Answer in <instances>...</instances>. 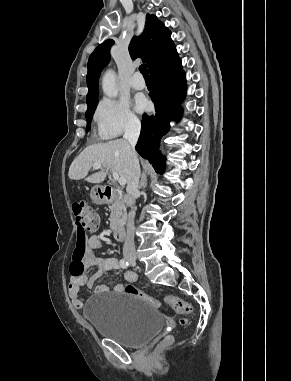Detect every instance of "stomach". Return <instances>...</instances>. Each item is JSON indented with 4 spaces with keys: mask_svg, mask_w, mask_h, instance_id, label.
<instances>
[{
    "mask_svg": "<svg viewBox=\"0 0 291 381\" xmlns=\"http://www.w3.org/2000/svg\"><path fill=\"white\" fill-rule=\"evenodd\" d=\"M90 197L92 201L96 204H104L106 202L105 197L103 195V190L99 186H95L91 189Z\"/></svg>",
    "mask_w": 291,
    "mask_h": 381,
    "instance_id": "stomach-1",
    "label": "stomach"
}]
</instances>
